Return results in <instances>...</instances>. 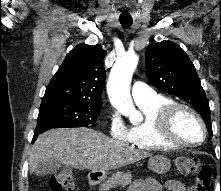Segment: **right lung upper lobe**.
I'll return each mask as SVG.
<instances>
[{"label":"right lung upper lobe","mask_w":221,"mask_h":191,"mask_svg":"<svg viewBox=\"0 0 221 191\" xmlns=\"http://www.w3.org/2000/svg\"><path fill=\"white\" fill-rule=\"evenodd\" d=\"M107 54L100 45L79 44L66 56L51 79L41 104L85 101L102 103Z\"/></svg>","instance_id":"obj_1"}]
</instances>
